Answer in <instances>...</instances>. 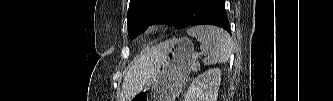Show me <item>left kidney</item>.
<instances>
[{"instance_id": "1", "label": "left kidney", "mask_w": 333, "mask_h": 101, "mask_svg": "<svg viewBox=\"0 0 333 101\" xmlns=\"http://www.w3.org/2000/svg\"><path fill=\"white\" fill-rule=\"evenodd\" d=\"M220 82L219 68L206 70L192 81L185 95V101H217Z\"/></svg>"}]
</instances>
